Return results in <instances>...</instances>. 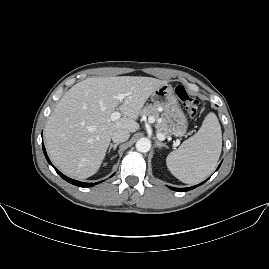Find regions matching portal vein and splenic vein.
Returning <instances> with one entry per match:
<instances>
[{"mask_svg":"<svg viewBox=\"0 0 269 269\" xmlns=\"http://www.w3.org/2000/svg\"><path fill=\"white\" fill-rule=\"evenodd\" d=\"M128 95H129L128 93H125V94L124 93H121V94L117 95L116 98L118 100L122 101ZM120 117H121V113L119 111H115V112H113L111 114V120L112 121H115V120L119 119ZM147 122H148V125L150 127H153L155 125L156 119H155V117L150 116V117H148ZM157 138L160 141H164L166 139V136L164 134H162V133H157Z\"/></svg>","mask_w":269,"mask_h":269,"instance_id":"obj_1","label":"portal vein and splenic vein"}]
</instances>
